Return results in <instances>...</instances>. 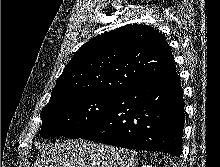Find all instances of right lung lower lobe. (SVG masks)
Wrapping results in <instances>:
<instances>
[{
  "label": "right lung lower lobe",
  "mask_w": 220,
  "mask_h": 167,
  "mask_svg": "<svg viewBox=\"0 0 220 167\" xmlns=\"http://www.w3.org/2000/svg\"><path fill=\"white\" fill-rule=\"evenodd\" d=\"M184 101L176 71L116 94L104 116L80 138L180 156Z\"/></svg>",
  "instance_id": "obj_1"
}]
</instances>
